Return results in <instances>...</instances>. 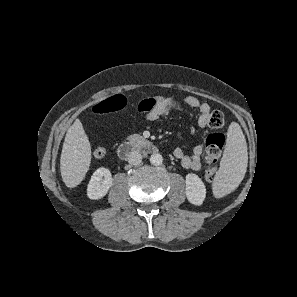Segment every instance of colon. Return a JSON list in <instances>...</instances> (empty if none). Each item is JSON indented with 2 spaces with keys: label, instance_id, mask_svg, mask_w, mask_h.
<instances>
[{
  "label": "colon",
  "instance_id": "colon-1",
  "mask_svg": "<svg viewBox=\"0 0 297 297\" xmlns=\"http://www.w3.org/2000/svg\"><path fill=\"white\" fill-rule=\"evenodd\" d=\"M168 98L167 96H156L144 99L139 102L137 111L144 113L150 110L158 102ZM127 105V99L123 95H113L98 104L93 108L94 113L98 115L114 113L123 110ZM207 125L213 131L206 137L205 140V179L208 182H213L216 175V163L221 156L222 149L225 143L224 135L220 129L224 126V116L220 111H213L209 114ZM106 151L103 147H98L94 150V156L101 158Z\"/></svg>",
  "mask_w": 297,
  "mask_h": 297
}]
</instances>
